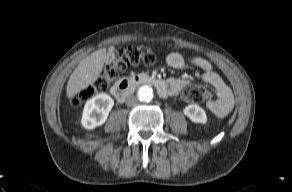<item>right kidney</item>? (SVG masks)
Here are the masks:
<instances>
[{"label": "right kidney", "mask_w": 292, "mask_h": 192, "mask_svg": "<svg viewBox=\"0 0 292 192\" xmlns=\"http://www.w3.org/2000/svg\"><path fill=\"white\" fill-rule=\"evenodd\" d=\"M113 105L114 100L106 93H100L88 100L83 110L82 126L91 130L104 124Z\"/></svg>", "instance_id": "ca27d5eb"}]
</instances>
